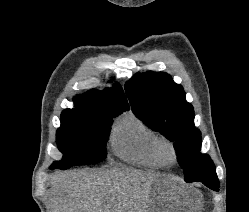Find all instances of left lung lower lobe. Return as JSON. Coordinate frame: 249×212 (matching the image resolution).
I'll list each match as a JSON object with an SVG mask.
<instances>
[{
    "label": "left lung lower lobe",
    "mask_w": 249,
    "mask_h": 212,
    "mask_svg": "<svg viewBox=\"0 0 249 212\" xmlns=\"http://www.w3.org/2000/svg\"><path fill=\"white\" fill-rule=\"evenodd\" d=\"M186 182H191V181H187ZM202 182L205 186L209 187L210 189L214 190V191H218L219 190V180L218 179H214V180H208V181H200Z\"/></svg>",
    "instance_id": "0a47b994"
}]
</instances>
